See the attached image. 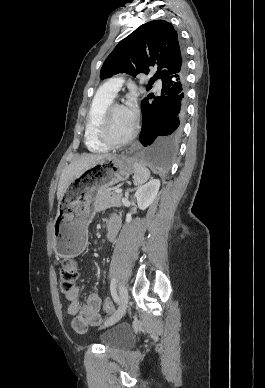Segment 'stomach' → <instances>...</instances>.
Wrapping results in <instances>:
<instances>
[{"mask_svg": "<svg viewBox=\"0 0 265 388\" xmlns=\"http://www.w3.org/2000/svg\"><path fill=\"white\" fill-rule=\"evenodd\" d=\"M133 163L124 155H111L83 170L59 200L53 224L54 251L60 257H76L87 242V226L96 211L95 197L102 187L128 179Z\"/></svg>", "mask_w": 265, "mask_h": 388, "instance_id": "0dacf381", "label": "stomach"}]
</instances>
